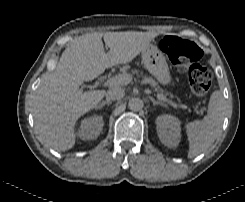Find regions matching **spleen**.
I'll return each instance as SVG.
<instances>
[{"mask_svg": "<svg viewBox=\"0 0 245 202\" xmlns=\"http://www.w3.org/2000/svg\"><path fill=\"white\" fill-rule=\"evenodd\" d=\"M225 116V100L220 91L211 95L207 115L185 125L189 140L188 157L193 158L206 151L221 133Z\"/></svg>", "mask_w": 245, "mask_h": 202, "instance_id": "3e777b00", "label": "spleen"}]
</instances>
